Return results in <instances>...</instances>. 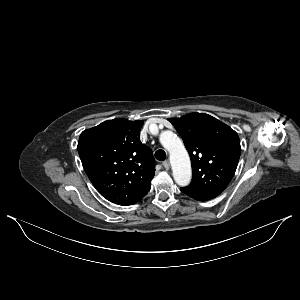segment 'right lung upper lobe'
Returning a JSON list of instances; mask_svg holds the SVG:
<instances>
[{
  "label": "right lung upper lobe",
  "mask_w": 300,
  "mask_h": 300,
  "mask_svg": "<svg viewBox=\"0 0 300 300\" xmlns=\"http://www.w3.org/2000/svg\"><path fill=\"white\" fill-rule=\"evenodd\" d=\"M142 120L113 119L84 130L82 165L97 191L113 203L145 196L155 171L152 150L141 143Z\"/></svg>",
  "instance_id": "cb5924a9"
}]
</instances>
